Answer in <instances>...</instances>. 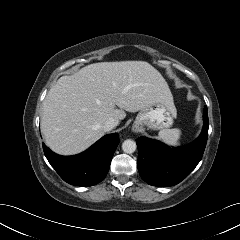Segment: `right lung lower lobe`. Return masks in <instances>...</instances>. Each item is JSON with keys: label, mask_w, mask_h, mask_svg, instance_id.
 <instances>
[{"label": "right lung lower lobe", "mask_w": 240, "mask_h": 240, "mask_svg": "<svg viewBox=\"0 0 240 240\" xmlns=\"http://www.w3.org/2000/svg\"><path fill=\"white\" fill-rule=\"evenodd\" d=\"M119 144L118 134H108L85 152L75 156H60L42 143L45 156L59 176L71 185L92 186L107 175L110 163Z\"/></svg>", "instance_id": "1"}]
</instances>
